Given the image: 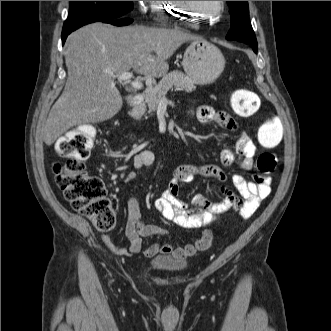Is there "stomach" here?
<instances>
[{
    "mask_svg": "<svg viewBox=\"0 0 331 331\" xmlns=\"http://www.w3.org/2000/svg\"><path fill=\"white\" fill-rule=\"evenodd\" d=\"M182 66L196 84L205 85L214 82L223 72L225 59L214 44L204 40H194L186 48Z\"/></svg>",
    "mask_w": 331,
    "mask_h": 331,
    "instance_id": "0dacf381",
    "label": "stomach"
}]
</instances>
